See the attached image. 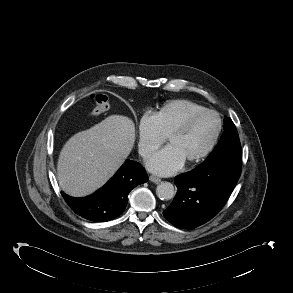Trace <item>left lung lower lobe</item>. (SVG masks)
<instances>
[{"label":"left lung lower lobe","mask_w":293,"mask_h":293,"mask_svg":"<svg viewBox=\"0 0 293 293\" xmlns=\"http://www.w3.org/2000/svg\"><path fill=\"white\" fill-rule=\"evenodd\" d=\"M242 151L235 147L220 161L200 164L175 177L178 188L164 217L174 226L193 229L212 219L225 205L241 174Z\"/></svg>","instance_id":"0a47b994"}]
</instances>
